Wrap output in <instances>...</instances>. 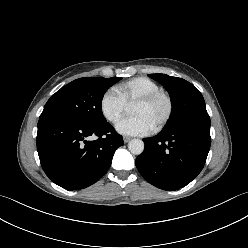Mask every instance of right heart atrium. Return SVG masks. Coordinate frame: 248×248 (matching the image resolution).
<instances>
[{
  "label": "right heart atrium",
  "mask_w": 248,
  "mask_h": 248,
  "mask_svg": "<svg viewBox=\"0 0 248 248\" xmlns=\"http://www.w3.org/2000/svg\"><path fill=\"white\" fill-rule=\"evenodd\" d=\"M127 104L113 89L105 91L100 99V111L103 117L114 124L124 114Z\"/></svg>",
  "instance_id": "d8ad5b80"
}]
</instances>
